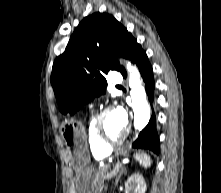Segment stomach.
<instances>
[{
	"label": "stomach",
	"mask_w": 221,
	"mask_h": 193,
	"mask_svg": "<svg viewBox=\"0 0 221 193\" xmlns=\"http://www.w3.org/2000/svg\"><path fill=\"white\" fill-rule=\"evenodd\" d=\"M61 134L67 142V152L72 155V167H75L78 193H93L100 179L99 169L89 162L87 137L84 125L78 120H63Z\"/></svg>",
	"instance_id": "0dacf381"
}]
</instances>
